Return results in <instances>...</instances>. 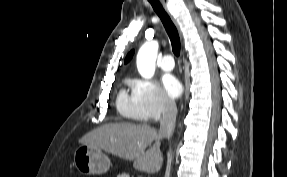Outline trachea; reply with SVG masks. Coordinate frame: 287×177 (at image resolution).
Masks as SVG:
<instances>
[{"label":"trachea","mask_w":287,"mask_h":177,"mask_svg":"<svg viewBox=\"0 0 287 177\" xmlns=\"http://www.w3.org/2000/svg\"><path fill=\"white\" fill-rule=\"evenodd\" d=\"M148 2L152 5L153 9L157 13V15L160 17L164 28L171 40L172 44V51L176 56L180 55V48H181V42L180 37L177 31V28L175 27L174 23L172 22L169 15L164 10L163 6L161 5L159 0H148Z\"/></svg>","instance_id":"1"}]
</instances>
